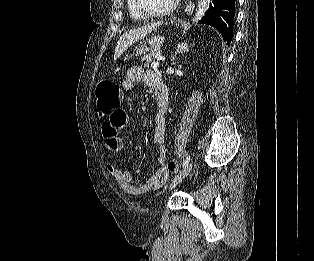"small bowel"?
Instances as JSON below:
<instances>
[{
    "label": "small bowel",
    "instance_id": "obj_1",
    "mask_svg": "<svg viewBox=\"0 0 314 261\" xmlns=\"http://www.w3.org/2000/svg\"><path fill=\"white\" fill-rule=\"evenodd\" d=\"M143 81L146 85L156 90L160 83V77L152 71H144L139 65H134L127 71L126 78L122 86L126 91H131L136 82ZM109 120H105L102 124V136L105 140L107 151H120L123 148L122 131L128 123L127 109H112V113L108 115ZM166 132V117L163 112H158L154 117L153 142L157 144V160L159 168L157 171L143 184H133L132 174L128 170H122L115 164H108L107 169L112 177L118 183L120 189L127 195L140 196L147 192L158 188L168 178V170L166 166L167 151L164 147V139Z\"/></svg>",
    "mask_w": 314,
    "mask_h": 261
}]
</instances>
